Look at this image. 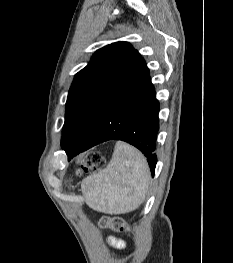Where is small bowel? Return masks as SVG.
<instances>
[{
    "label": "small bowel",
    "mask_w": 233,
    "mask_h": 263,
    "mask_svg": "<svg viewBox=\"0 0 233 263\" xmlns=\"http://www.w3.org/2000/svg\"><path fill=\"white\" fill-rule=\"evenodd\" d=\"M108 243L110 246L117 250H124L126 248V242L122 239H118L115 237H109Z\"/></svg>",
    "instance_id": "small-bowel-1"
}]
</instances>
